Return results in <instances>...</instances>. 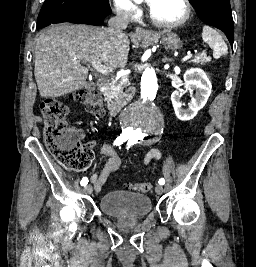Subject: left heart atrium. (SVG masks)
Returning <instances> with one entry per match:
<instances>
[{"instance_id":"obj_1","label":"left heart atrium","mask_w":256,"mask_h":267,"mask_svg":"<svg viewBox=\"0 0 256 267\" xmlns=\"http://www.w3.org/2000/svg\"><path fill=\"white\" fill-rule=\"evenodd\" d=\"M168 1L169 0H145L146 8L153 20V23L157 27L163 26L158 18L164 7L169 3Z\"/></svg>"}]
</instances>
